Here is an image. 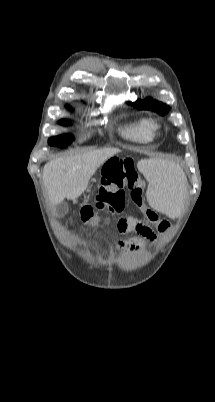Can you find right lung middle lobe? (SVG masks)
<instances>
[{
  "mask_svg": "<svg viewBox=\"0 0 215 402\" xmlns=\"http://www.w3.org/2000/svg\"><path fill=\"white\" fill-rule=\"evenodd\" d=\"M62 124H67L68 122L66 120L61 121ZM72 140V137L70 135H61L57 137H52L49 139V144L52 146H59V147H64L66 144H68Z\"/></svg>",
  "mask_w": 215,
  "mask_h": 402,
  "instance_id": "right-lung-middle-lobe-1",
  "label": "right lung middle lobe"
}]
</instances>
